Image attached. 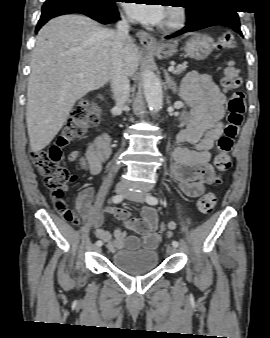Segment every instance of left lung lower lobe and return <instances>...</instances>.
<instances>
[{
	"mask_svg": "<svg viewBox=\"0 0 270 338\" xmlns=\"http://www.w3.org/2000/svg\"><path fill=\"white\" fill-rule=\"evenodd\" d=\"M218 25L230 27L238 32L240 35H242L237 11L227 8H221L202 16L200 19L196 20L193 23H187V25L182 30L174 34L168 35L166 38L169 39L184 34L186 32L197 31L200 29Z\"/></svg>",
	"mask_w": 270,
	"mask_h": 338,
	"instance_id": "left-lung-lower-lobe-1",
	"label": "left lung lower lobe"
}]
</instances>
